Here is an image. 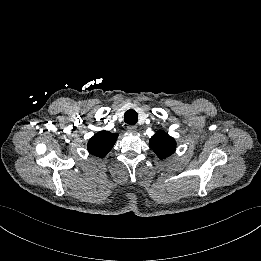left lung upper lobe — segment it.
<instances>
[{"label": "left lung upper lobe", "instance_id": "left-lung-upper-lobe-1", "mask_svg": "<svg viewBox=\"0 0 261 261\" xmlns=\"http://www.w3.org/2000/svg\"><path fill=\"white\" fill-rule=\"evenodd\" d=\"M149 146L159 158L165 159L175 152L176 141L160 130L151 137Z\"/></svg>", "mask_w": 261, "mask_h": 261}]
</instances>
